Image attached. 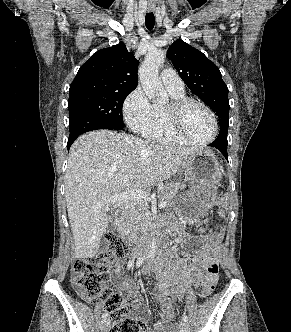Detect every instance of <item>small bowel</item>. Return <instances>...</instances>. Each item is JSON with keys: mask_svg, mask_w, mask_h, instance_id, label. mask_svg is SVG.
<instances>
[{"mask_svg": "<svg viewBox=\"0 0 291 332\" xmlns=\"http://www.w3.org/2000/svg\"><path fill=\"white\" fill-rule=\"evenodd\" d=\"M173 229L178 235V243L185 245L187 239L184 225L175 224ZM222 237L223 231L220 228L213 234L200 235L198 240L202 245L190 257L183 255L177 248L164 249L158 264L142 269L144 274L154 272L157 279L156 298L162 306L160 318L150 330L146 326L147 308L143 300L139 296L136 297L132 319L143 326V332H174L172 300L183 296L190 287L203 286L211 278L212 270L218 267L216 248ZM120 273L121 267L117 266V279H120Z\"/></svg>", "mask_w": 291, "mask_h": 332, "instance_id": "c3829d8e", "label": "small bowel"}]
</instances>
